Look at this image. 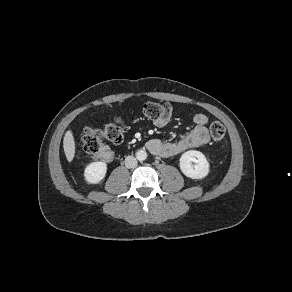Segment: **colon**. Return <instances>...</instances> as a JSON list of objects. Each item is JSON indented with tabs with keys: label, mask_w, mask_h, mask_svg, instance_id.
Returning a JSON list of instances; mask_svg holds the SVG:
<instances>
[{
	"label": "colon",
	"mask_w": 292,
	"mask_h": 292,
	"mask_svg": "<svg viewBox=\"0 0 292 292\" xmlns=\"http://www.w3.org/2000/svg\"><path fill=\"white\" fill-rule=\"evenodd\" d=\"M140 113L145 118L153 121H167L173 114V108L168 103L147 102L140 108ZM210 134L212 139L224 149L226 144L225 127L219 122H214L210 126ZM122 140L123 130L120 119H113L103 129L86 127L82 133L84 151L91 155L101 154V159L105 161H109L112 158V152L104 149V142L119 144Z\"/></svg>",
	"instance_id": "obj_1"
}]
</instances>
